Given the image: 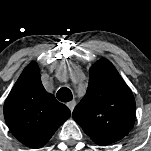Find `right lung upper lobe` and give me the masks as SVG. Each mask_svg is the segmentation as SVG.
Masks as SVG:
<instances>
[{"mask_svg": "<svg viewBox=\"0 0 151 151\" xmlns=\"http://www.w3.org/2000/svg\"><path fill=\"white\" fill-rule=\"evenodd\" d=\"M70 114L67 106L46 92L34 61L24 69L4 104L9 129L30 148L43 147Z\"/></svg>", "mask_w": 151, "mask_h": 151, "instance_id": "1", "label": "right lung upper lobe"}]
</instances>
